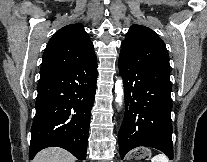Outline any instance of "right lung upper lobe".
<instances>
[{"label": "right lung upper lobe", "instance_id": "obj_1", "mask_svg": "<svg viewBox=\"0 0 207 162\" xmlns=\"http://www.w3.org/2000/svg\"><path fill=\"white\" fill-rule=\"evenodd\" d=\"M93 44L83 26L70 24L56 32L43 54L40 77L95 59Z\"/></svg>", "mask_w": 207, "mask_h": 162}]
</instances>
